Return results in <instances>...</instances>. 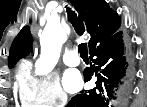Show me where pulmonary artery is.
<instances>
[{
	"mask_svg": "<svg viewBox=\"0 0 147 107\" xmlns=\"http://www.w3.org/2000/svg\"><path fill=\"white\" fill-rule=\"evenodd\" d=\"M63 61L68 66H78L80 64V59L75 50H68L63 56Z\"/></svg>",
	"mask_w": 147,
	"mask_h": 107,
	"instance_id": "1",
	"label": "pulmonary artery"
}]
</instances>
